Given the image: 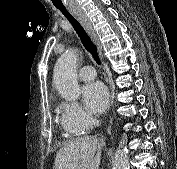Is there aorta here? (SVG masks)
<instances>
[{"instance_id": "1", "label": "aorta", "mask_w": 177, "mask_h": 169, "mask_svg": "<svg viewBox=\"0 0 177 169\" xmlns=\"http://www.w3.org/2000/svg\"><path fill=\"white\" fill-rule=\"evenodd\" d=\"M77 58L78 55L73 49H67L54 66L53 84L66 101H76L81 93L77 80ZM128 165V149L123 142L114 155L113 169H128Z\"/></svg>"}]
</instances>
